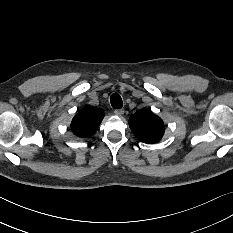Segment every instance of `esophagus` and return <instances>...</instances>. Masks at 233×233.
<instances>
[{
    "instance_id": "1",
    "label": "esophagus",
    "mask_w": 233,
    "mask_h": 233,
    "mask_svg": "<svg viewBox=\"0 0 233 233\" xmlns=\"http://www.w3.org/2000/svg\"><path fill=\"white\" fill-rule=\"evenodd\" d=\"M114 113L115 115L121 116L124 114V109H115Z\"/></svg>"
}]
</instances>
